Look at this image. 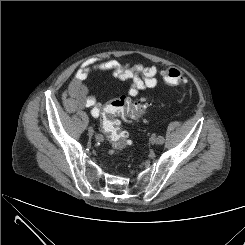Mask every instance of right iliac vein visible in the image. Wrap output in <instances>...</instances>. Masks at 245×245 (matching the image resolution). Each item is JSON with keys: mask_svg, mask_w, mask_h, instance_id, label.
I'll return each instance as SVG.
<instances>
[{"mask_svg": "<svg viewBox=\"0 0 245 245\" xmlns=\"http://www.w3.org/2000/svg\"><path fill=\"white\" fill-rule=\"evenodd\" d=\"M93 133H94L93 128L92 127H89L88 128V135H89V137H92L93 136ZM97 136H99V135H96V137Z\"/></svg>", "mask_w": 245, "mask_h": 245, "instance_id": "1", "label": "right iliac vein"}]
</instances>
